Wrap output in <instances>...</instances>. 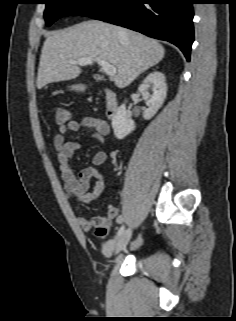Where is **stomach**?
Here are the masks:
<instances>
[{
	"label": "stomach",
	"instance_id": "1",
	"mask_svg": "<svg viewBox=\"0 0 236 321\" xmlns=\"http://www.w3.org/2000/svg\"><path fill=\"white\" fill-rule=\"evenodd\" d=\"M70 89L79 92V91H83L85 89V86L78 84V85L71 86Z\"/></svg>",
	"mask_w": 236,
	"mask_h": 321
}]
</instances>
